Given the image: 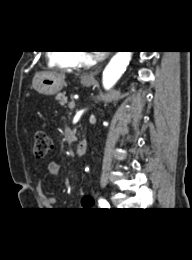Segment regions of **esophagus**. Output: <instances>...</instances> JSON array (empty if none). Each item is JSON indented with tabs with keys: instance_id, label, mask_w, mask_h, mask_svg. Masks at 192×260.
I'll return each mask as SVG.
<instances>
[{
	"instance_id": "esophagus-1",
	"label": "esophagus",
	"mask_w": 192,
	"mask_h": 260,
	"mask_svg": "<svg viewBox=\"0 0 192 260\" xmlns=\"http://www.w3.org/2000/svg\"><path fill=\"white\" fill-rule=\"evenodd\" d=\"M102 69V65L98 66L94 71H91L87 74H85L83 77L84 79H87V80H94L96 75H98V73L101 71Z\"/></svg>"
}]
</instances>
